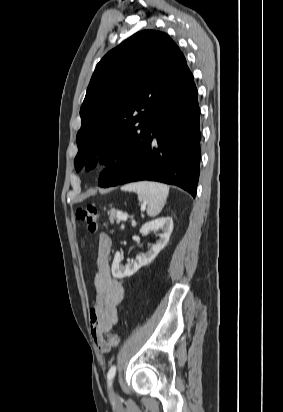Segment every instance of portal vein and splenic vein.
Returning a JSON list of instances; mask_svg holds the SVG:
<instances>
[{"instance_id":"18ae733b","label":"portal vein and splenic vein","mask_w":283,"mask_h":412,"mask_svg":"<svg viewBox=\"0 0 283 412\" xmlns=\"http://www.w3.org/2000/svg\"><path fill=\"white\" fill-rule=\"evenodd\" d=\"M117 217L122 221H126L128 219V216L121 211H117Z\"/></svg>"}]
</instances>
